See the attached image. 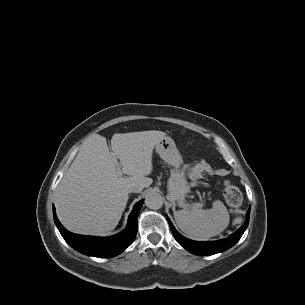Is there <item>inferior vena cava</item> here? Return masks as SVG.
<instances>
[{
    "label": "inferior vena cava",
    "instance_id": "1",
    "mask_svg": "<svg viewBox=\"0 0 305 305\" xmlns=\"http://www.w3.org/2000/svg\"><path fill=\"white\" fill-rule=\"evenodd\" d=\"M143 188L141 186H132L129 189V192H134V193H140L142 192Z\"/></svg>",
    "mask_w": 305,
    "mask_h": 305
}]
</instances>
